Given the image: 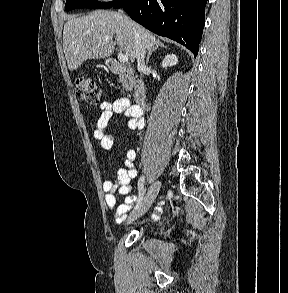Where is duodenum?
Instances as JSON below:
<instances>
[{"label":"duodenum","mask_w":288,"mask_h":293,"mask_svg":"<svg viewBox=\"0 0 288 293\" xmlns=\"http://www.w3.org/2000/svg\"><path fill=\"white\" fill-rule=\"evenodd\" d=\"M108 67L112 73L120 75L133 91L136 105L141 109L144 108L147 103V92L144 83L141 80L135 79L132 70L116 59L110 58L108 60Z\"/></svg>","instance_id":"obj_1"}]
</instances>
